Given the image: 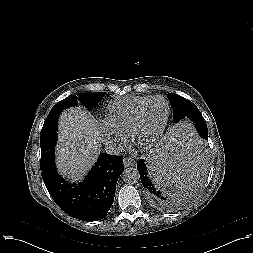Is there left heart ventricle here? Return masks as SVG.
I'll return each mask as SVG.
<instances>
[{
  "instance_id": "left-heart-ventricle-1",
  "label": "left heart ventricle",
  "mask_w": 253,
  "mask_h": 253,
  "mask_svg": "<svg viewBox=\"0 0 253 253\" xmlns=\"http://www.w3.org/2000/svg\"><path fill=\"white\" fill-rule=\"evenodd\" d=\"M167 114V104L162 99L150 102L142 112L135 138L139 143L150 140L161 128Z\"/></svg>"
}]
</instances>
